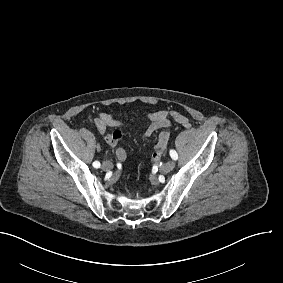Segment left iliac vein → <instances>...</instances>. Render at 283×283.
<instances>
[{"label":"left iliac vein","mask_w":283,"mask_h":283,"mask_svg":"<svg viewBox=\"0 0 283 283\" xmlns=\"http://www.w3.org/2000/svg\"><path fill=\"white\" fill-rule=\"evenodd\" d=\"M174 161L173 160H170L168 162H166L162 167H161V172L162 173H168L170 172L173 168H174Z\"/></svg>","instance_id":"obj_1"}]
</instances>
